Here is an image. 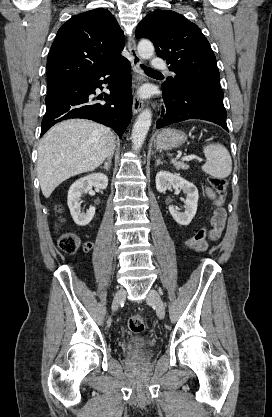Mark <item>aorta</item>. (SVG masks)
Returning a JSON list of instances; mask_svg holds the SVG:
<instances>
[{
	"instance_id": "aorta-1",
	"label": "aorta",
	"mask_w": 272,
	"mask_h": 417,
	"mask_svg": "<svg viewBox=\"0 0 272 417\" xmlns=\"http://www.w3.org/2000/svg\"><path fill=\"white\" fill-rule=\"evenodd\" d=\"M138 54L143 59H149L154 54V46L149 40H141L138 43ZM152 122V113L149 109H145L138 116L132 129L133 149L138 151L146 138Z\"/></svg>"
}]
</instances>
